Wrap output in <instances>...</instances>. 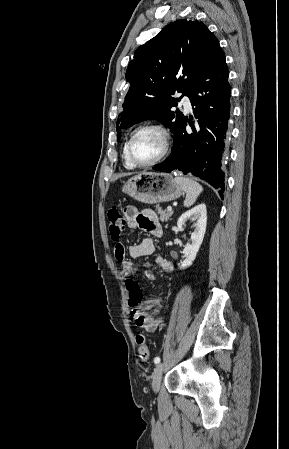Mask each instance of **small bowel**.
<instances>
[{"label":"small bowel","mask_w":289,"mask_h":449,"mask_svg":"<svg viewBox=\"0 0 289 449\" xmlns=\"http://www.w3.org/2000/svg\"><path fill=\"white\" fill-rule=\"evenodd\" d=\"M128 227L131 229L142 228L151 235L160 237L162 227L156 213L150 209L138 211L135 207L129 206L125 210ZM155 252V240L152 237L144 238L140 243L125 246L122 243L116 244L114 248L115 259L120 263L121 275L129 280L137 269L134 263L126 258V253L132 258H139L152 255ZM155 264L165 272L174 270L173 264L160 254L154 257ZM141 275L150 281L155 280V274L151 270H143ZM160 310V300L157 298L143 302L136 309H132L131 318L136 326L143 328L146 332H155L162 324V319L158 316Z\"/></svg>","instance_id":"1"}]
</instances>
